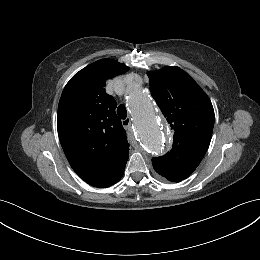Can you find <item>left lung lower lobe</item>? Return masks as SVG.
I'll use <instances>...</instances> for the list:
<instances>
[{
	"instance_id": "left-lung-lower-lobe-1",
	"label": "left lung lower lobe",
	"mask_w": 260,
	"mask_h": 260,
	"mask_svg": "<svg viewBox=\"0 0 260 260\" xmlns=\"http://www.w3.org/2000/svg\"><path fill=\"white\" fill-rule=\"evenodd\" d=\"M169 181H172V182H179L180 180H169Z\"/></svg>"
}]
</instances>
